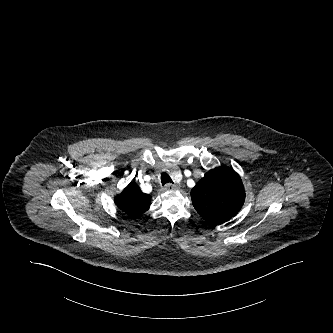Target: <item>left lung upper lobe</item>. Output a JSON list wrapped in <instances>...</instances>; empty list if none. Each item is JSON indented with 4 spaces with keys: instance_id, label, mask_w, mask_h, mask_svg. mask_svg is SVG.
Returning a JSON list of instances; mask_svg holds the SVG:
<instances>
[{
    "instance_id": "left-lung-upper-lobe-1",
    "label": "left lung upper lobe",
    "mask_w": 333,
    "mask_h": 333,
    "mask_svg": "<svg viewBox=\"0 0 333 333\" xmlns=\"http://www.w3.org/2000/svg\"><path fill=\"white\" fill-rule=\"evenodd\" d=\"M198 214L212 225L233 217L244 204L245 190L240 176L228 167L208 171L191 190Z\"/></svg>"
}]
</instances>
